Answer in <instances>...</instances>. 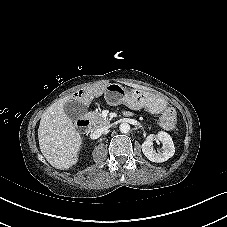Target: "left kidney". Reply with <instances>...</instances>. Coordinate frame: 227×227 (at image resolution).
Segmentation results:
<instances>
[{
  "instance_id": "obj_1",
  "label": "left kidney",
  "mask_w": 227,
  "mask_h": 227,
  "mask_svg": "<svg viewBox=\"0 0 227 227\" xmlns=\"http://www.w3.org/2000/svg\"><path fill=\"white\" fill-rule=\"evenodd\" d=\"M155 137L162 142V151H153V139ZM142 152L150 161L161 163L174 155L175 147L171 136L164 131H160L157 135H149L146 138L142 144Z\"/></svg>"
}]
</instances>
